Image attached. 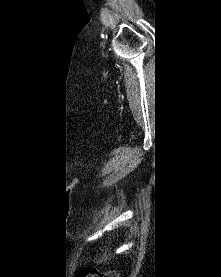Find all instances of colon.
<instances>
[{
	"mask_svg": "<svg viewBox=\"0 0 221 277\" xmlns=\"http://www.w3.org/2000/svg\"><path fill=\"white\" fill-rule=\"evenodd\" d=\"M77 277H119L116 272H99L93 268H83L77 272Z\"/></svg>",
	"mask_w": 221,
	"mask_h": 277,
	"instance_id": "obj_1",
	"label": "colon"
}]
</instances>
